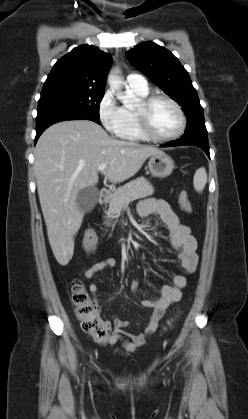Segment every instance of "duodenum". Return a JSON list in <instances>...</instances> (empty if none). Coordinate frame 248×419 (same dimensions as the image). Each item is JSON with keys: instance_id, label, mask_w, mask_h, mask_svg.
Here are the masks:
<instances>
[{"instance_id": "obj_1", "label": "duodenum", "mask_w": 248, "mask_h": 419, "mask_svg": "<svg viewBox=\"0 0 248 419\" xmlns=\"http://www.w3.org/2000/svg\"><path fill=\"white\" fill-rule=\"evenodd\" d=\"M109 199V192L107 189H101L99 194V203L100 205H106Z\"/></svg>"}]
</instances>
